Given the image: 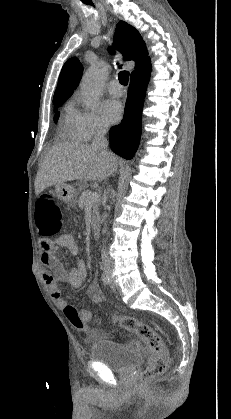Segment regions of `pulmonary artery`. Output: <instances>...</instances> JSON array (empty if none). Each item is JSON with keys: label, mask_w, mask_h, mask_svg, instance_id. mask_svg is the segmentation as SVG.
Wrapping results in <instances>:
<instances>
[{"label": "pulmonary artery", "mask_w": 231, "mask_h": 419, "mask_svg": "<svg viewBox=\"0 0 231 419\" xmlns=\"http://www.w3.org/2000/svg\"><path fill=\"white\" fill-rule=\"evenodd\" d=\"M108 92L115 97L121 96L123 89L118 81H111L108 85Z\"/></svg>", "instance_id": "1"}]
</instances>
